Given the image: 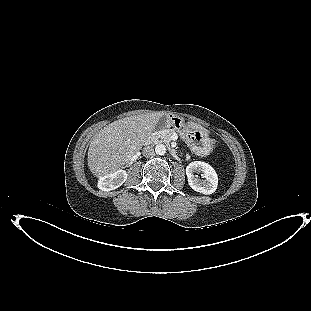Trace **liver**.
I'll list each match as a JSON object with an SVG mask.
<instances>
[{
	"label": "liver",
	"mask_w": 311,
	"mask_h": 311,
	"mask_svg": "<svg viewBox=\"0 0 311 311\" xmlns=\"http://www.w3.org/2000/svg\"><path fill=\"white\" fill-rule=\"evenodd\" d=\"M160 112L126 117L112 122L92 138L88 149V167L97 178L114 173L129 162L155 129ZM193 129L202 126L189 123Z\"/></svg>",
	"instance_id": "1"
}]
</instances>
